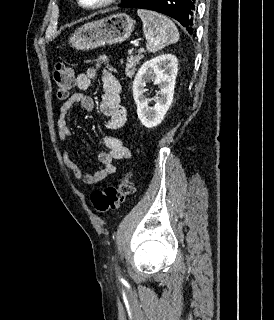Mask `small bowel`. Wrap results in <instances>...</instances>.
Returning a JSON list of instances; mask_svg holds the SVG:
<instances>
[{
  "label": "small bowel",
  "mask_w": 274,
  "mask_h": 320,
  "mask_svg": "<svg viewBox=\"0 0 274 320\" xmlns=\"http://www.w3.org/2000/svg\"><path fill=\"white\" fill-rule=\"evenodd\" d=\"M105 59H99L98 64ZM96 70L89 69L77 76L76 83L80 90H86L95 78ZM103 95L100 101V111L107 118L106 126L110 130L121 129L127 121L126 108L121 103V84L117 77L109 70L102 72ZM81 105L85 110L94 109L93 99L83 93H73L59 109L57 120L58 134L62 141H67L71 135V129L68 126V114L75 105ZM103 143L107 151L99 155V168L94 173H85L78 164L70 158L69 151L63 150L62 158L65 166L73 173L74 177L86 185H96L113 175L116 168L113 164L115 160H126L130 158L131 153L121 138L117 136L106 135L103 137Z\"/></svg>",
  "instance_id": "c3829d8e"
}]
</instances>
